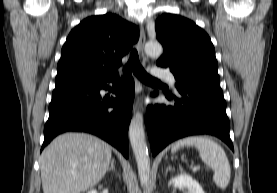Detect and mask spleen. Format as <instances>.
I'll list each match as a JSON object with an SVG mask.
<instances>
[{
	"mask_svg": "<svg viewBox=\"0 0 277 193\" xmlns=\"http://www.w3.org/2000/svg\"><path fill=\"white\" fill-rule=\"evenodd\" d=\"M183 146L196 147L202 161L213 169L214 183L221 189L228 186L231 175L230 164L225 151L218 143L205 136H190L175 142L171 151L176 152Z\"/></svg>",
	"mask_w": 277,
	"mask_h": 193,
	"instance_id": "1",
	"label": "spleen"
}]
</instances>
